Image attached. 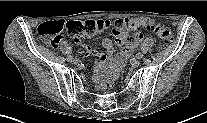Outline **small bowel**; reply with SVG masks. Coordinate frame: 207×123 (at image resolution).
<instances>
[{"label":"small bowel","instance_id":"obj_1","mask_svg":"<svg viewBox=\"0 0 207 123\" xmlns=\"http://www.w3.org/2000/svg\"><path fill=\"white\" fill-rule=\"evenodd\" d=\"M113 31L116 36L117 44L123 47V50L120 53L118 59L120 57H125L127 59L133 50L138 46V44L144 39V33L142 32H136L130 35L127 31L120 30L116 27H114ZM76 43L84 49L87 55L97 54L96 50L83 43L81 40H77ZM102 46L106 49V54L101 55V61L112 62L115 52L113 41L110 38L105 37L102 39Z\"/></svg>","mask_w":207,"mask_h":123}]
</instances>
